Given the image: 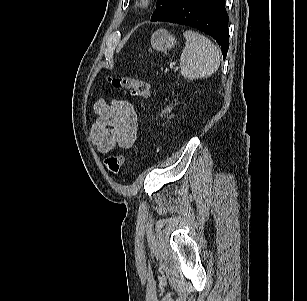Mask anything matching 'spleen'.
Listing matches in <instances>:
<instances>
[{"label":"spleen","instance_id":"obj_1","mask_svg":"<svg viewBox=\"0 0 307 301\" xmlns=\"http://www.w3.org/2000/svg\"><path fill=\"white\" fill-rule=\"evenodd\" d=\"M183 36L186 45L180 56L181 75L188 80L210 77L220 66L219 50L207 37L195 31L187 30Z\"/></svg>","mask_w":307,"mask_h":301}]
</instances>
